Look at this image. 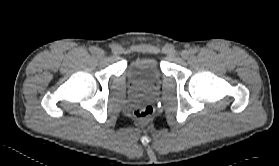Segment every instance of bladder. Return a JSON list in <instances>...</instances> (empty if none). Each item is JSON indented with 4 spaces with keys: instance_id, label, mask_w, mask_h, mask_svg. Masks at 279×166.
I'll list each match as a JSON object with an SVG mask.
<instances>
[{
    "instance_id": "obj_1",
    "label": "bladder",
    "mask_w": 279,
    "mask_h": 166,
    "mask_svg": "<svg viewBox=\"0 0 279 166\" xmlns=\"http://www.w3.org/2000/svg\"><path fill=\"white\" fill-rule=\"evenodd\" d=\"M128 78L143 89H154L161 82L163 73L155 58H138L130 61L126 67Z\"/></svg>"
}]
</instances>
